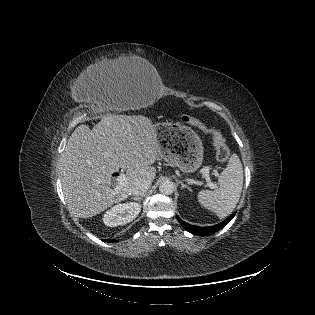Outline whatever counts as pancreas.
<instances>
[{"instance_id":"cf45deb5","label":"pancreas","mask_w":315,"mask_h":315,"mask_svg":"<svg viewBox=\"0 0 315 315\" xmlns=\"http://www.w3.org/2000/svg\"><path fill=\"white\" fill-rule=\"evenodd\" d=\"M205 169H210V167H205Z\"/></svg>"}]
</instances>
